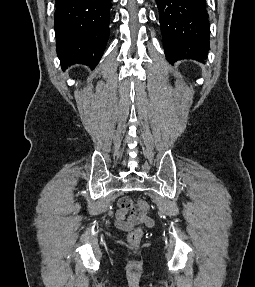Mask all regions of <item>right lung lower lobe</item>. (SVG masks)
Segmentation results:
<instances>
[{
	"label": "right lung lower lobe",
	"mask_w": 255,
	"mask_h": 287,
	"mask_svg": "<svg viewBox=\"0 0 255 287\" xmlns=\"http://www.w3.org/2000/svg\"><path fill=\"white\" fill-rule=\"evenodd\" d=\"M110 1L56 0L54 27L62 69L98 64L109 37Z\"/></svg>",
	"instance_id": "98d812e1"
}]
</instances>
